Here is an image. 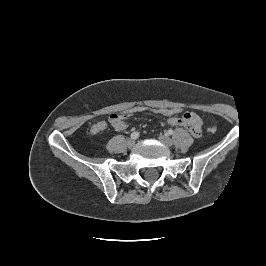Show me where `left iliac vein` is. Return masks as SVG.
Wrapping results in <instances>:
<instances>
[{"mask_svg":"<svg viewBox=\"0 0 266 266\" xmlns=\"http://www.w3.org/2000/svg\"><path fill=\"white\" fill-rule=\"evenodd\" d=\"M158 138H159V140L162 143H164L167 146H172L173 145V140L170 137L166 136V135H159Z\"/></svg>","mask_w":266,"mask_h":266,"instance_id":"1","label":"left iliac vein"}]
</instances>
